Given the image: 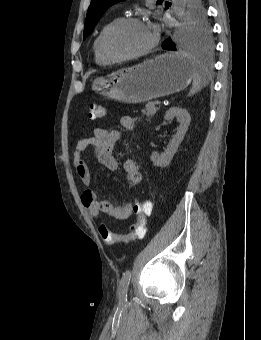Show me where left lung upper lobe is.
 I'll use <instances>...</instances> for the list:
<instances>
[{
  "label": "left lung upper lobe",
  "mask_w": 261,
  "mask_h": 340,
  "mask_svg": "<svg viewBox=\"0 0 261 340\" xmlns=\"http://www.w3.org/2000/svg\"><path fill=\"white\" fill-rule=\"evenodd\" d=\"M119 1L122 0H91L85 20L84 40L105 11ZM185 8V25L181 35L183 46L209 51L213 45L211 28L201 0H186Z\"/></svg>",
  "instance_id": "5c2ea615"
}]
</instances>
